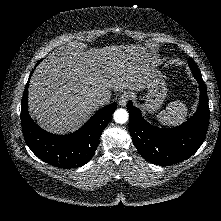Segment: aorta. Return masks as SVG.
Segmentation results:
<instances>
[{
  "label": "aorta",
  "instance_id": "obj_1",
  "mask_svg": "<svg viewBox=\"0 0 221 221\" xmlns=\"http://www.w3.org/2000/svg\"><path fill=\"white\" fill-rule=\"evenodd\" d=\"M113 117L116 123L124 124L128 121L129 115L125 109L120 108L114 112Z\"/></svg>",
  "mask_w": 221,
  "mask_h": 221
}]
</instances>
